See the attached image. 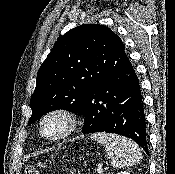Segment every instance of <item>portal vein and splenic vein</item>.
<instances>
[{"label": "portal vein and splenic vein", "instance_id": "18ae733b", "mask_svg": "<svg viewBox=\"0 0 175 174\" xmlns=\"http://www.w3.org/2000/svg\"><path fill=\"white\" fill-rule=\"evenodd\" d=\"M103 172V169L101 166H98L97 167V173L101 174Z\"/></svg>", "mask_w": 175, "mask_h": 174}]
</instances>
